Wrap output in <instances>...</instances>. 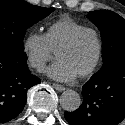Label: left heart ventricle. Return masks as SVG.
<instances>
[{
  "instance_id": "b2bd125f",
  "label": "left heart ventricle",
  "mask_w": 125,
  "mask_h": 125,
  "mask_svg": "<svg viewBox=\"0 0 125 125\" xmlns=\"http://www.w3.org/2000/svg\"><path fill=\"white\" fill-rule=\"evenodd\" d=\"M96 52L95 36L92 33H85L71 48L61 51L58 59L64 61L76 75H79L91 66Z\"/></svg>"
}]
</instances>
